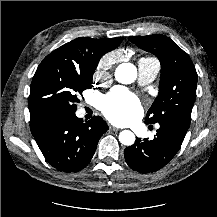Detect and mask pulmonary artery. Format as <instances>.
I'll list each match as a JSON object with an SVG mask.
<instances>
[{"label":"pulmonary artery","instance_id":"pulmonary-artery-1","mask_svg":"<svg viewBox=\"0 0 217 217\" xmlns=\"http://www.w3.org/2000/svg\"><path fill=\"white\" fill-rule=\"evenodd\" d=\"M159 63L154 59L142 58L138 62V80L142 85L151 83L158 75Z\"/></svg>","mask_w":217,"mask_h":217}]
</instances>
